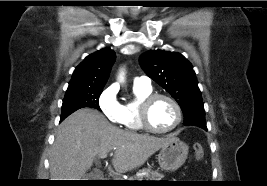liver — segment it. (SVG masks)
<instances>
[{"mask_svg":"<svg viewBox=\"0 0 267 186\" xmlns=\"http://www.w3.org/2000/svg\"><path fill=\"white\" fill-rule=\"evenodd\" d=\"M172 135L155 137L124 131L91 108L77 110L58 127L50 154L51 180H81L95 158L115 149L112 165L119 173L142 166L167 145Z\"/></svg>","mask_w":267,"mask_h":186,"instance_id":"liver-1","label":"liver"}]
</instances>
